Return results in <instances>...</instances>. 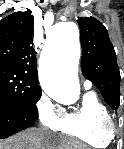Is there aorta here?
<instances>
[{"instance_id": "762f6f07", "label": "aorta", "mask_w": 124, "mask_h": 149, "mask_svg": "<svg viewBox=\"0 0 124 149\" xmlns=\"http://www.w3.org/2000/svg\"><path fill=\"white\" fill-rule=\"evenodd\" d=\"M79 58L78 26L70 21L58 23L45 45L39 66L40 84L49 97L64 104L78 100Z\"/></svg>"}]
</instances>
